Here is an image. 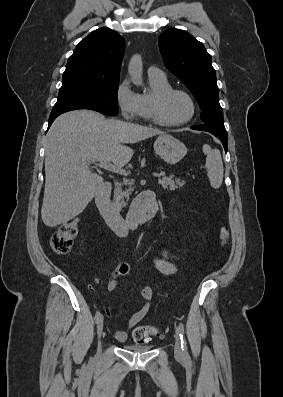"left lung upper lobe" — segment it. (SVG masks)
Instances as JSON below:
<instances>
[{"label": "left lung upper lobe", "mask_w": 283, "mask_h": 397, "mask_svg": "<svg viewBox=\"0 0 283 397\" xmlns=\"http://www.w3.org/2000/svg\"><path fill=\"white\" fill-rule=\"evenodd\" d=\"M159 48L166 68L191 91L205 125L225 129L219 104V88L211 55L204 45L184 30L168 29L159 36Z\"/></svg>", "instance_id": "obj_1"}]
</instances>
